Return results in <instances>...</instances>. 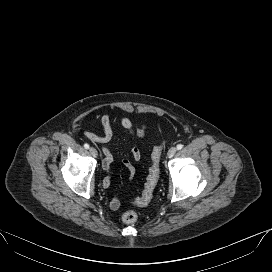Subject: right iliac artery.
<instances>
[{"label": "right iliac artery", "mask_w": 272, "mask_h": 272, "mask_svg": "<svg viewBox=\"0 0 272 272\" xmlns=\"http://www.w3.org/2000/svg\"><path fill=\"white\" fill-rule=\"evenodd\" d=\"M84 148L85 149H89V145L86 143V144H84Z\"/></svg>", "instance_id": "right-iliac-artery-1"}]
</instances>
